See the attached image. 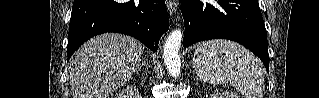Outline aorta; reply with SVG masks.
I'll return each instance as SVG.
<instances>
[{
  "mask_svg": "<svg viewBox=\"0 0 319 98\" xmlns=\"http://www.w3.org/2000/svg\"><path fill=\"white\" fill-rule=\"evenodd\" d=\"M182 40L181 30L172 31L164 45V62L168 72L173 76L177 77L181 71V60L179 56V49Z\"/></svg>",
  "mask_w": 319,
  "mask_h": 98,
  "instance_id": "1",
  "label": "aorta"
}]
</instances>
